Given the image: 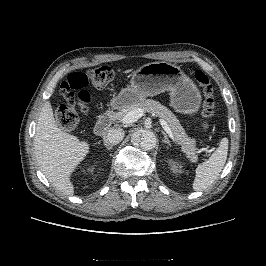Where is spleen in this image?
Instances as JSON below:
<instances>
[{"mask_svg": "<svg viewBox=\"0 0 266 266\" xmlns=\"http://www.w3.org/2000/svg\"><path fill=\"white\" fill-rule=\"evenodd\" d=\"M227 153L228 139L223 138L210 158L196 168L193 182L195 191H203L214 183L225 165Z\"/></svg>", "mask_w": 266, "mask_h": 266, "instance_id": "1", "label": "spleen"}]
</instances>
